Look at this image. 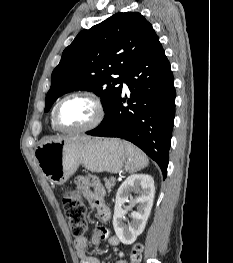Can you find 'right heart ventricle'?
<instances>
[{
	"instance_id": "e07e8e85",
	"label": "right heart ventricle",
	"mask_w": 233,
	"mask_h": 263,
	"mask_svg": "<svg viewBox=\"0 0 233 263\" xmlns=\"http://www.w3.org/2000/svg\"><path fill=\"white\" fill-rule=\"evenodd\" d=\"M53 112H54V109L52 110V113H51V126H52V129L57 130V128L55 127L53 123Z\"/></svg>"
}]
</instances>
